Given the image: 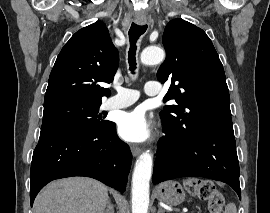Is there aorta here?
I'll return each mask as SVG.
<instances>
[{"label":"aorta","mask_w":270,"mask_h":213,"mask_svg":"<svg viewBox=\"0 0 270 213\" xmlns=\"http://www.w3.org/2000/svg\"><path fill=\"white\" fill-rule=\"evenodd\" d=\"M160 47L151 46L141 53L145 65L158 64L164 59ZM152 174V154L144 151L136 161L132 176V213H147L149 206V182Z\"/></svg>","instance_id":"obj_1"}]
</instances>
